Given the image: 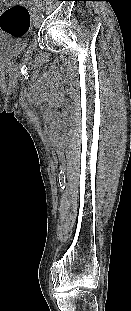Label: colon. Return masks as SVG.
<instances>
[{
  "instance_id": "colon-1",
  "label": "colon",
  "mask_w": 131,
  "mask_h": 311,
  "mask_svg": "<svg viewBox=\"0 0 131 311\" xmlns=\"http://www.w3.org/2000/svg\"><path fill=\"white\" fill-rule=\"evenodd\" d=\"M0 29L13 37L24 36L30 29V13L22 5L6 8L0 15Z\"/></svg>"
}]
</instances>
